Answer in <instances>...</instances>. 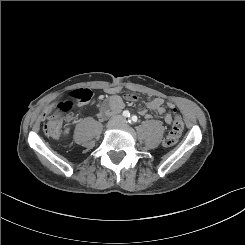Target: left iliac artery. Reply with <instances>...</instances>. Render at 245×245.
Listing matches in <instances>:
<instances>
[{
  "label": "left iliac artery",
  "mask_w": 245,
  "mask_h": 245,
  "mask_svg": "<svg viewBox=\"0 0 245 245\" xmlns=\"http://www.w3.org/2000/svg\"><path fill=\"white\" fill-rule=\"evenodd\" d=\"M137 120H138L137 116H136V115H133V116L130 118L129 122H130V123H136Z\"/></svg>",
  "instance_id": "44dca946"
}]
</instances>
